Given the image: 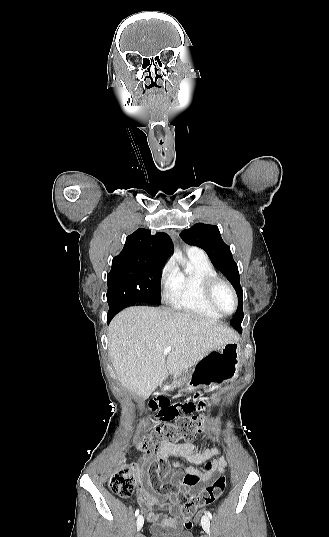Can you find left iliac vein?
<instances>
[{
	"label": "left iliac vein",
	"mask_w": 329,
	"mask_h": 537,
	"mask_svg": "<svg viewBox=\"0 0 329 537\" xmlns=\"http://www.w3.org/2000/svg\"><path fill=\"white\" fill-rule=\"evenodd\" d=\"M201 524H202V528L203 530L207 533V534H210V520L208 518V516L204 515L201 519Z\"/></svg>",
	"instance_id": "4c4485c4"
}]
</instances>
